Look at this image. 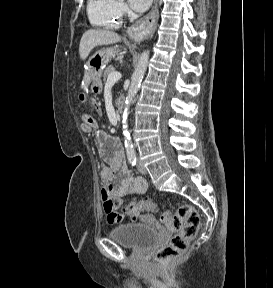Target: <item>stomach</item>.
Instances as JSON below:
<instances>
[{
	"instance_id": "0dacf381",
	"label": "stomach",
	"mask_w": 273,
	"mask_h": 288,
	"mask_svg": "<svg viewBox=\"0 0 273 288\" xmlns=\"http://www.w3.org/2000/svg\"><path fill=\"white\" fill-rule=\"evenodd\" d=\"M117 47H107L100 49L94 55H92L87 62V69L84 75V82L86 85H91V91L95 94H99L102 91L101 75L105 66L110 60L117 54Z\"/></svg>"
}]
</instances>
